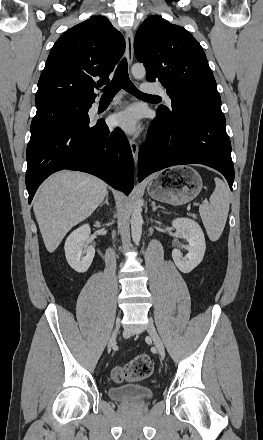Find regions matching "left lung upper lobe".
<instances>
[{
	"instance_id": "5c2ea615",
	"label": "left lung upper lobe",
	"mask_w": 263,
	"mask_h": 440,
	"mask_svg": "<svg viewBox=\"0 0 263 440\" xmlns=\"http://www.w3.org/2000/svg\"><path fill=\"white\" fill-rule=\"evenodd\" d=\"M135 55L146 67L147 80H159L172 100L171 109L157 112L170 116L178 110L221 109V98L206 55L183 27L160 16L148 17L137 30Z\"/></svg>"
}]
</instances>
